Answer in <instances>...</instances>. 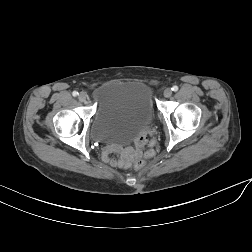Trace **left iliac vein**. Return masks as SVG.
<instances>
[{"mask_svg": "<svg viewBox=\"0 0 252 252\" xmlns=\"http://www.w3.org/2000/svg\"><path fill=\"white\" fill-rule=\"evenodd\" d=\"M163 95H164V97L169 98L172 95V90L170 88H166L163 91Z\"/></svg>", "mask_w": 252, "mask_h": 252, "instance_id": "4c4485c4", "label": "left iliac vein"}]
</instances>
